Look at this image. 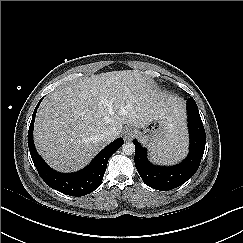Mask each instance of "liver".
<instances>
[{
  "instance_id": "obj_1",
  "label": "liver",
  "mask_w": 243,
  "mask_h": 243,
  "mask_svg": "<svg viewBox=\"0 0 243 243\" xmlns=\"http://www.w3.org/2000/svg\"><path fill=\"white\" fill-rule=\"evenodd\" d=\"M166 118L171 134H185L183 103L160 93L137 70L101 73L56 88L41 103L34 125L38 152L54 169L77 171L86 166L123 125L144 128Z\"/></svg>"
}]
</instances>
